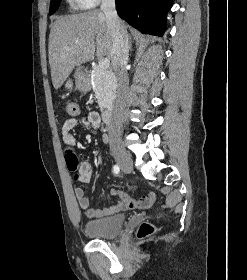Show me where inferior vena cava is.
I'll return each mask as SVG.
<instances>
[{
	"mask_svg": "<svg viewBox=\"0 0 247 280\" xmlns=\"http://www.w3.org/2000/svg\"><path fill=\"white\" fill-rule=\"evenodd\" d=\"M101 11L106 18L107 27L112 37L111 61L117 79V98L109 132L110 143L119 141L120 114L125 103L128 88L126 65L128 62L129 45L127 30L118 17L115 0H102Z\"/></svg>",
	"mask_w": 247,
	"mask_h": 280,
	"instance_id": "602c4592",
	"label": "inferior vena cava"
}]
</instances>
